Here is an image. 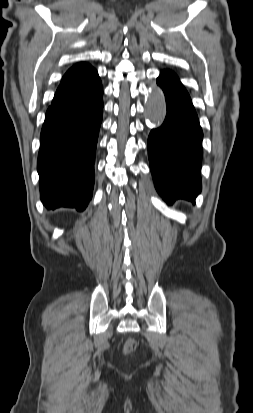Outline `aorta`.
<instances>
[{
  "label": "aorta",
  "mask_w": 253,
  "mask_h": 413,
  "mask_svg": "<svg viewBox=\"0 0 253 413\" xmlns=\"http://www.w3.org/2000/svg\"><path fill=\"white\" fill-rule=\"evenodd\" d=\"M145 117L153 127H159L166 116V101L163 91L153 87L145 101Z\"/></svg>",
  "instance_id": "762f6f07"
}]
</instances>
